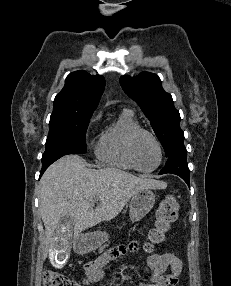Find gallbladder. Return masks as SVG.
I'll list each match as a JSON object with an SVG mask.
<instances>
[{
	"mask_svg": "<svg viewBox=\"0 0 231 286\" xmlns=\"http://www.w3.org/2000/svg\"><path fill=\"white\" fill-rule=\"evenodd\" d=\"M75 227L74 219L71 213H66L61 216L57 225H55L56 236L53 237L49 246L50 263L56 269L64 268L67 265V260L70 258V250L72 241V230Z\"/></svg>",
	"mask_w": 231,
	"mask_h": 286,
	"instance_id": "bac80fb5",
	"label": "gallbladder"
}]
</instances>
